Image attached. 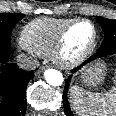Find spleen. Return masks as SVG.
Here are the masks:
<instances>
[{
	"instance_id": "obj_1",
	"label": "spleen",
	"mask_w": 116,
	"mask_h": 116,
	"mask_svg": "<svg viewBox=\"0 0 116 116\" xmlns=\"http://www.w3.org/2000/svg\"><path fill=\"white\" fill-rule=\"evenodd\" d=\"M72 107L78 116H116V86L105 93L70 89Z\"/></svg>"
}]
</instances>
